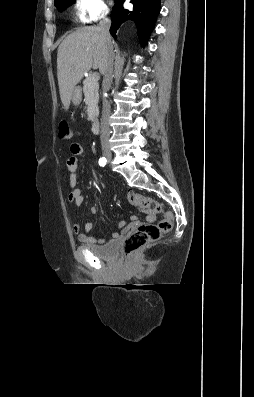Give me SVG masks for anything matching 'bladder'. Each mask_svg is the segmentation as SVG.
<instances>
[{
  "instance_id": "1",
  "label": "bladder",
  "mask_w": 254,
  "mask_h": 397,
  "mask_svg": "<svg viewBox=\"0 0 254 397\" xmlns=\"http://www.w3.org/2000/svg\"><path fill=\"white\" fill-rule=\"evenodd\" d=\"M87 248L97 257L105 260H113L119 254V242L110 241L104 245H91Z\"/></svg>"
}]
</instances>
